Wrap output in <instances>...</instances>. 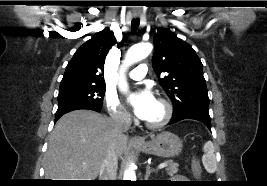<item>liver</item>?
Here are the masks:
<instances>
[{
  "instance_id": "6515ba94",
  "label": "liver",
  "mask_w": 267,
  "mask_h": 186,
  "mask_svg": "<svg viewBox=\"0 0 267 186\" xmlns=\"http://www.w3.org/2000/svg\"><path fill=\"white\" fill-rule=\"evenodd\" d=\"M110 129V119L93 111L76 110L62 116L49 137L45 178L95 180L112 140ZM114 142L121 157L127 150L128 137L119 136Z\"/></svg>"
}]
</instances>
